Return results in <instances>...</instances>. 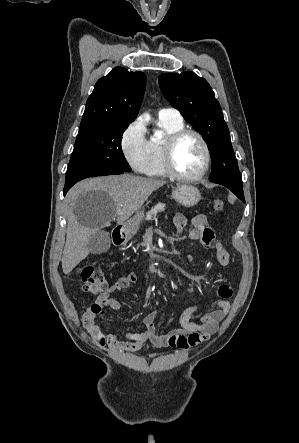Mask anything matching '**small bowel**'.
<instances>
[{"label": "small bowel", "mask_w": 299, "mask_h": 443, "mask_svg": "<svg viewBox=\"0 0 299 443\" xmlns=\"http://www.w3.org/2000/svg\"><path fill=\"white\" fill-rule=\"evenodd\" d=\"M173 223L178 231H182L187 226L188 220L183 214L178 213L174 216ZM191 225L192 229L189 231L187 238L192 241L199 240L206 248L214 249L219 264L223 267L229 266L230 255L216 238L207 217L203 214L195 215L191 220ZM136 280L137 276L134 273L118 278L97 297L95 304L101 308L109 307L112 310L119 311L121 303L111 295L128 288ZM232 294V287L228 283L220 284L218 287L219 299L214 302V309L205 313L199 322H195L192 318L200 310L201 306H188L180 315V328L167 333H159L157 331L155 323L157 311H151L145 315L143 322L146 330L144 332H127L125 340H119L115 333H103L95 324V315L91 309L82 316V323L99 338L101 343L118 353L138 351L146 342H151L158 348L172 347L190 350L210 340L217 331L219 323L231 309L229 299L232 297Z\"/></svg>", "instance_id": "obj_1"}]
</instances>
